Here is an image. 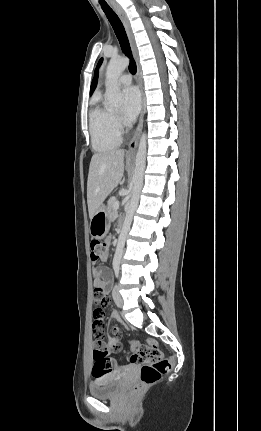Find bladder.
Returning <instances> with one entry per match:
<instances>
[{"mask_svg": "<svg viewBox=\"0 0 261 431\" xmlns=\"http://www.w3.org/2000/svg\"><path fill=\"white\" fill-rule=\"evenodd\" d=\"M123 385L124 378L121 375L99 376L89 384V393L100 399L113 398L121 392Z\"/></svg>", "mask_w": 261, "mask_h": 431, "instance_id": "1", "label": "bladder"}]
</instances>
